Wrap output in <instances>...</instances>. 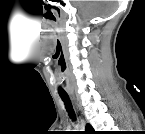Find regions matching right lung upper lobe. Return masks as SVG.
Wrapping results in <instances>:
<instances>
[{
	"instance_id": "1",
	"label": "right lung upper lobe",
	"mask_w": 145,
	"mask_h": 134,
	"mask_svg": "<svg viewBox=\"0 0 145 134\" xmlns=\"http://www.w3.org/2000/svg\"><path fill=\"white\" fill-rule=\"evenodd\" d=\"M86 132L90 133V134L94 133V129H93V127L90 124L86 125Z\"/></svg>"
}]
</instances>
